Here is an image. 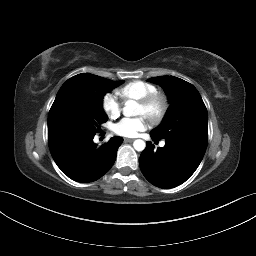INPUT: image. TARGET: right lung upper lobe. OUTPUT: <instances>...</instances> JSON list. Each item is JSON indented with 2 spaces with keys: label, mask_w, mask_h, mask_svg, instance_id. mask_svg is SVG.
<instances>
[{
  "label": "right lung upper lobe",
  "mask_w": 256,
  "mask_h": 256,
  "mask_svg": "<svg viewBox=\"0 0 256 256\" xmlns=\"http://www.w3.org/2000/svg\"><path fill=\"white\" fill-rule=\"evenodd\" d=\"M83 89V83L77 80V77L73 76L62 85L54 102L65 97H77L81 94Z\"/></svg>",
  "instance_id": "cb5924a9"
}]
</instances>
